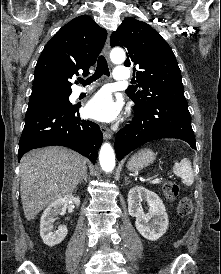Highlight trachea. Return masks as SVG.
Segmentation results:
<instances>
[{"label":"trachea","mask_w":221,"mask_h":274,"mask_svg":"<svg viewBox=\"0 0 221 274\" xmlns=\"http://www.w3.org/2000/svg\"><path fill=\"white\" fill-rule=\"evenodd\" d=\"M102 75H106V76L110 75L107 61L103 55H101L98 58L95 73L92 76H90L89 78H87L86 80H84L82 78H78V81L80 83H82L83 85H89L92 82H94L95 80H97L98 78H100Z\"/></svg>","instance_id":"trachea-1"}]
</instances>
